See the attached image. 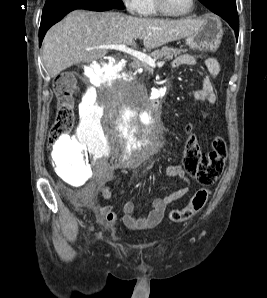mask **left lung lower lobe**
Returning a JSON list of instances; mask_svg holds the SVG:
<instances>
[{
    "instance_id": "obj_1",
    "label": "left lung lower lobe",
    "mask_w": 267,
    "mask_h": 298,
    "mask_svg": "<svg viewBox=\"0 0 267 298\" xmlns=\"http://www.w3.org/2000/svg\"><path fill=\"white\" fill-rule=\"evenodd\" d=\"M219 16L229 23V25L235 31L236 38H238L239 18H238L237 11H229L228 14H220Z\"/></svg>"
}]
</instances>
